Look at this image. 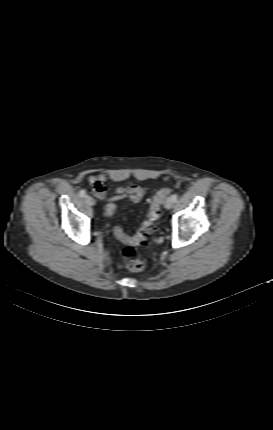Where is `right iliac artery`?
Masks as SVG:
<instances>
[{"label": "right iliac artery", "instance_id": "1", "mask_svg": "<svg viewBox=\"0 0 273 430\" xmlns=\"http://www.w3.org/2000/svg\"><path fill=\"white\" fill-rule=\"evenodd\" d=\"M79 196H80V197H86L87 195H86L85 190H81V191L79 192Z\"/></svg>", "mask_w": 273, "mask_h": 430}]
</instances>
